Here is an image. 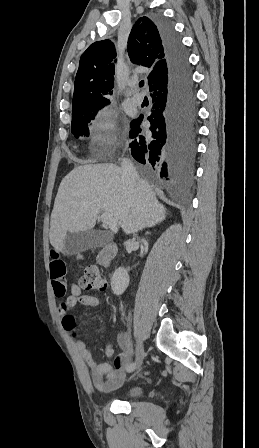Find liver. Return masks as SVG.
<instances>
[{
    "label": "liver",
    "mask_w": 259,
    "mask_h": 448,
    "mask_svg": "<svg viewBox=\"0 0 259 448\" xmlns=\"http://www.w3.org/2000/svg\"><path fill=\"white\" fill-rule=\"evenodd\" d=\"M99 212L110 214L125 234L153 228L166 218V208L147 180L138 178L128 190L115 164L79 166L63 178L55 198L49 230L55 252L65 254L67 232L93 230ZM82 258L77 256V260Z\"/></svg>",
    "instance_id": "6515ba94"
}]
</instances>
